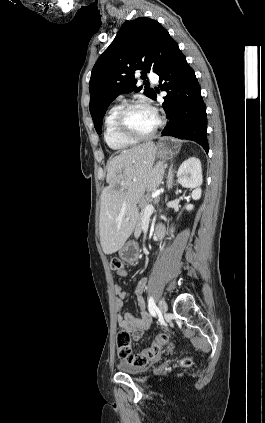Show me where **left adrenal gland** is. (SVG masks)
<instances>
[{
  "label": "left adrenal gland",
  "mask_w": 265,
  "mask_h": 423,
  "mask_svg": "<svg viewBox=\"0 0 265 423\" xmlns=\"http://www.w3.org/2000/svg\"><path fill=\"white\" fill-rule=\"evenodd\" d=\"M169 179H172V166H171V168H170V170H169ZM172 185V182H171V184H170V186Z\"/></svg>",
  "instance_id": "obj_1"
}]
</instances>
